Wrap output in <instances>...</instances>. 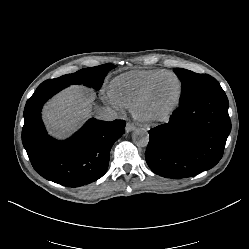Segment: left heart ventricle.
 I'll use <instances>...</instances> for the list:
<instances>
[{
	"label": "left heart ventricle",
	"mask_w": 249,
	"mask_h": 249,
	"mask_svg": "<svg viewBox=\"0 0 249 249\" xmlns=\"http://www.w3.org/2000/svg\"><path fill=\"white\" fill-rule=\"evenodd\" d=\"M179 92L178 81L174 77H166L153 88L142 107L144 115H157L174 104Z\"/></svg>",
	"instance_id": "b2bd125f"
}]
</instances>
